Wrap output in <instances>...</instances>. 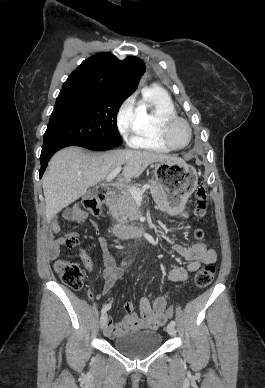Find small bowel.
<instances>
[{
	"instance_id": "c3829d8e",
	"label": "small bowel",
	"mask_w": 265,
	"mask_h": 388,
	"mask_svg": "<svg viewBox=\"0 0 265 388\" xmlns=\"http://www.w3.org/2000/svg\"><path fill=\"white\" fill-rule=\"evenodd\" d=\"M189 216L188 210H179L176 213L178 218H186ZM63 217L76 223L82 225L87 219V214L79 206H74L63 213ZM50 228L54 233H58L60 230L59 224L56 220H53L50 224ZM98 244L101 248L104 261V270H103V285L101 290V295L107 294L115 285V283L122 277L123 269L116 265L115 258L113 257L109 243L104 237L98 238ZM62 246L67 247H78L79 255L81 261L87 271H94V263L86 252V250L80 244V236L76 231H71L66 233L64 236H59L51 239L49 243L48 253L50 258L57 259L60 254V248ZM173 250L183 257L187 262L186 267H174L169 272V279L172 282H182L186 281L190 273L196 272L202 264H211L216 261L217 255L216 252L207 247L203 242H197L190 247H186L182 244H175ZM88 297L92 300L99 299V296H94V294L88 290ZM168 302V295L160 296L155 299L153 303L147 297H142L139 301L140 312L138 315L133 310V305L131 302H127L124 305L126 312L123 320L117 324L113 323L111 317L107 316V321L105 325V335L109 337H116L120 334H123L130 330H141V329H150L154 330L162 326L166 322V315L164 314ZM113 305V300L108 299L104 306Z\"/></svg>"
}]
</instances>
